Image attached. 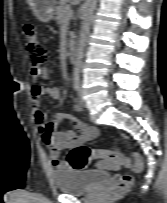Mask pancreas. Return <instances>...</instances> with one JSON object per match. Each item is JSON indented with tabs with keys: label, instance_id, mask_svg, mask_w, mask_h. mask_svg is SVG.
I'll use <instances>...</instances> for the list:
<instances>
[{
	"label": "pancreas",
	"instance_id": "pancreas-1",
	"mask_svg": "<svg viewBox=\"0 0 167 203\" xmlns=\"http://www.w3.org/2000/svg\"><path fill=\"white\" fill-rule=\"evenodd\" d=\"M70 8L69 0H60L59 5L55 9V20L59 25H62L65 21H68L69 19L66 18V10ZM70 35L72 33L70 32ZM71 44V41H69V45Z\"/></svg>",
	"mask_w": 167,
	"mask_h": 203
}]
</instances>
